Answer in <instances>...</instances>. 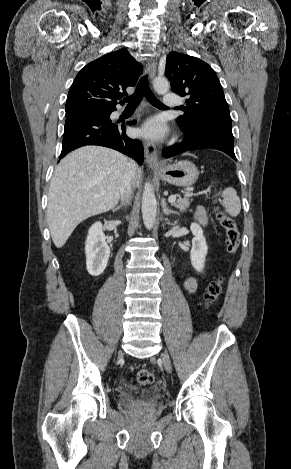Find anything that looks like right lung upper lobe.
<instances>
[{"mask_svg": "<svg viewBox=\"0 0 291 469\" xmlns=\"http://www.w3.org/2000/svg\"><path fill=\"white\" fill-rule=\"evenodd\" d=\"M141 73V64L124 48L90 62L77 74L69 90L66 116L116 106L117 100L127 94L125 89L134 86Z\"/></svg>", "mask_w": 291, "mask_h": 469, "instance_id": "cb5924a9", "label": "right lung upper lobe"}]
</instances>
